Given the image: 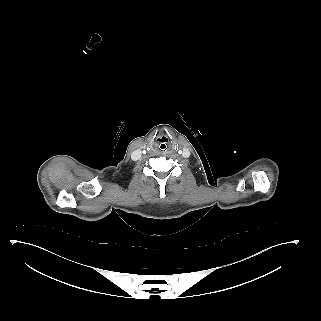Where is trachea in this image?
Segmentation results:
<instances>
[{
    "label": "trachea",
    "instance_id": "1",
    "mask_svg": "<svg viewBox=\"0 0 321 321\" xmlns=\"http://www.w3.org/2000/svg\"><path fill=\"white\" fill-rule=\"evenodd\" d=\"M158 151H159L161 154H166V153L169 151V146H168L166 143H161V144L158 146Z\"/></svg>",
    "mask_w": 321,
    "mask_h": 321
}]
</instances>
